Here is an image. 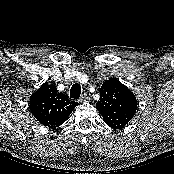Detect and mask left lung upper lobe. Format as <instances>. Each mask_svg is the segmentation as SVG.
<instances>
[{
	"mask_svg": "<svg viewBox=\"0 0 174 174\" xmlns=\"http://www.w3.org/2000/svg\"><path fill=\"white\" fill-rule=\"evenodd\" d=\"M137 105L134 94L118 79L110 78L100 88L96 109L108 126L122 129L133 118Z\"/></svg>",
	"mask_w": 174,
	"mask_h": 174,
	"instance_id": "left-lung-upper-lobe-1",
	"label": "left lung upper lobe"
}]
</instances>
